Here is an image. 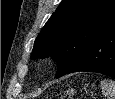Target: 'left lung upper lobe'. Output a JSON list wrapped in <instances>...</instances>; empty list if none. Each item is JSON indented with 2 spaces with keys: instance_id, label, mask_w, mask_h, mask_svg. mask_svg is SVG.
<instances>
[{
  "instance_id": "5c2ea615",
  "label": "left lung upper lobe",
  "mask_w": 115,
  "mask_h": 99,
  "mask_svg": "<svg viewBox=\"0 0 115 99\" xmlns=\"http://www.w3.org/2000/svg\"><path fill=\"white\" fill-rule=\"evenodd\" d=\"M115 25V0H62L35 40L32 59L52 56L63 76Z\"/></svg>"
}]
</instances>
